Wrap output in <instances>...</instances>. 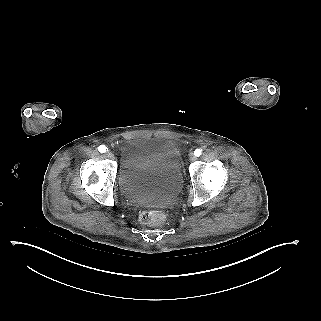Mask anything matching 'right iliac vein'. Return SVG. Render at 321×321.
Segmentation results:
<instances>
[{
	"label": "right iliac vein",
	"instance_id": "63e3f726",
	"mask_svg": "<svg viewBox=\"0 0 321 321\" xmlns=\"http://www.w3.org/2000/svg\"><path fill=\"white\" fill-rule=\"evenodd\" d=\"M106 156H107L108 158H110V159H113V158H114L113 153L110 152V151H107V152H106Z\"/></svg>",
	"mask_w": 321,
	"mask_h": 321
}]
</instances>
